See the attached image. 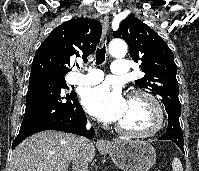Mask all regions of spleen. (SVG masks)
Returning a JSON list of instances; mask_svg holds the SVG:
<instances>
[{
    "instance_id": "obj_1",
    "label": "spleen",
    "mask_w": 199,
    "mask_h": 171,
    "mask_svg": "<svg viewBox=\"0 0 199 171\" xmlns=\"http://www.w3.org/2000/svg\"><path fill=\"white\" fill-rule=\"evenodd\" d=\"M173 171H183V166L179 158L175 157L172 161Z\"/></svg>"
}]
</instances>
